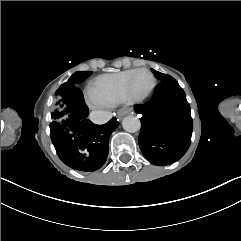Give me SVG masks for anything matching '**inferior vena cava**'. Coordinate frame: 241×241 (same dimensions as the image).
<instances>
[{"instance_id":"602c4592","label":"inferior vena cava","mask_w":241,"mask_h":241,"mask_svg":"<svg viewBox=\"0 0 241 241\" xmlns=\"http://www.w3.org/2000/svg\"><path fill=\"white\" fill-rule=\"evenodd\" d=\"M90 120L95 124H105L112 118V113L103 110L92 111L89 115Z\"/></svg>"}]
</instances>
